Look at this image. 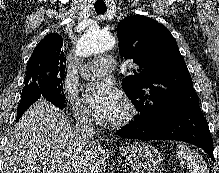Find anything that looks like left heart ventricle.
Masks as SVG:
<instances>
[{
  "instance_id": "b2bd125f",
  "label": "left heart ventricle",
  "mask_w": 219,
  "mask_h": 173,
  "mask_svg": "<svg viewBox=\"0 0 219 173\" xmlns=\"http://www.w3.org/2000/svg\"><path fill=\"white\" fill-rule=\"evenodd\" d=\"M124 111H125L124 110V106L121 103L120 106L118 107V109L115 111V113L112 115V117L110 119H114V118L120 117L121 115H123Z\"/></svg>"
}]
</instances>
